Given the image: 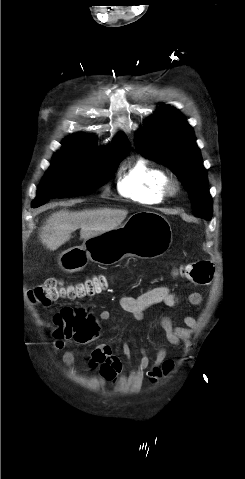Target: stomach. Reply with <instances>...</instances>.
<instances>
[{"label": "stomach", "instance_id": "1", "mask_svg": "<svg viewBox=\"0 0 245 479\" xmlns=\"http://www.w3.org/2000/svg\"><path fill=\"white\" fill-rule=\"evenodd\" d=\"M171 242L168 220L159 213L142 211L131 215L120 227L62 252L58 261L64 271L76 272L89 260L108 266L126 257L157 258L166 252Z\"/></svg>", "mask_w": 245, "mask_h": 479}]
</instances>
